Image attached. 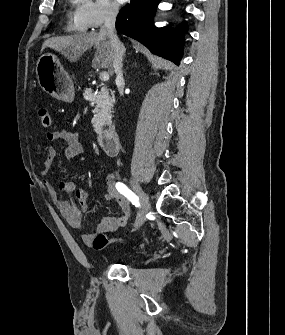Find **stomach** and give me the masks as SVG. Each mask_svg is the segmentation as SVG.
<instances>
[{"instance_id": "1", "label": "stomach", "mask_w": 285, "mask_h": 335, "mask_svg": "<svg viewBox=\"0 0 285 335\" xmlns=\"http://www.w3.org/2000/svg\"><path fill=\"white\" fill-rule=\"evenodd\" d=\"M36 76L40 88L46 94L56 100L72 102L74 96L72 80L67 72H64L57 56L54 54L40 56L36 64Z\"/></svg>"}]
</instances>
